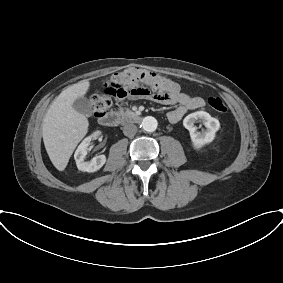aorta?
<instances>
[{"label": "aorta", "mask_w": 283, "mask_h": 283, "mask_svg": "<svg viewBox=\"0 0 283 283\" xmlns=\"http://www.w3.org/2000/svg\"><path fill=\"white\" fill-rule=\"evenodd\" d=\"M158 122L152 116H147L142 120L141 127L147 132H154L157 129Z\"/></svg>", "instance_id": "aorta-1"}]
</instances>
